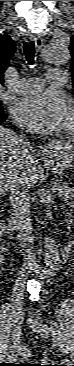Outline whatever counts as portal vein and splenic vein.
<instances>
[{
  "instance_id": "portal-vein-and-splenic-vein-1",
  "label": "portal vein and splenic vein",
  "mask_w": 74,
  "mask_h": 366,
  "mask_svg": "<svg viewBox=\"0 0 74 366\" xmlns=\"http://www.w3.org/2000/svg\"><path fill=\"white\" fill-rule=\"evenodd\" d=\"M59 191H60L61 194H63V191L62 190H59ZM66 197H68V196H66Z\"/></svg>"
}]
</instances>
